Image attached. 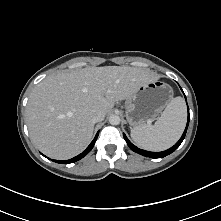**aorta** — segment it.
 <instances>
[{
	"mask_svg": "<svg viewBox=\"0 0 221 221\" xmlns=\"http://www.w3.org/2000/svg\"><path fill=\"white\" fill-rule=\"evenodd\" d=\"M120 117L118 116V115H111L110 117H109V123L111 124V125H118V124H120Z\"/></svg>",
	"mask_w": 221,
	"mask_h": 221,
	"instance_id": "762f6f07",
	"label": "aorta"
}]
</instances>
